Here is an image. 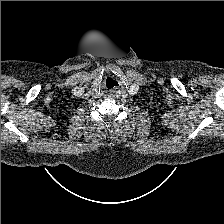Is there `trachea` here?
<instances>
[{
	"mask_svg": "<svg viewBox=\"0 0 224 224\" xmlns=\"http://www.w3.org/2000/svg\"><path fill=\"white\" fill-rule=\"evenodd\" d=\"M117 86H119L118 82L111 78V77H108L105 81V87L108 89V90H111L113 88H116Z\"/></svg>",
	"mask_w": 224,
	"mask_h": 224,
	"instance_id": "obj_1",
	"label": "trachea"
}]
</instances>
